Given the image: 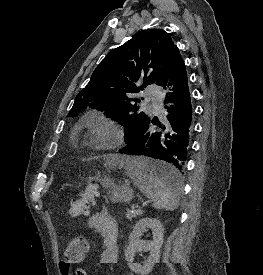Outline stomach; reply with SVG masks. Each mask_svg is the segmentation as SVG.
<instances>
[{
  "instance_id": "0dacf381",
  "label": "stomach",
  "mask_w": 263,
  "mask_h": 275,
  "mask_svg": "<svg viewBox=\"0 0 263 275\" xmlns=\"http://www.w3.org/2000/svg\"><path fill=\"white\" fill-rule=\"evenodd\" d=\"M158 163V162H155ZM162 164V163H160ZM133 197V191L128 186L113 189L112 201L113 202H129Z\"/></svg>"
}]
</instances>
